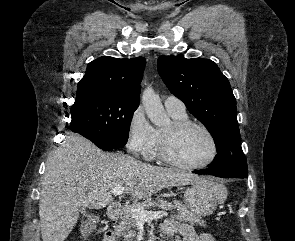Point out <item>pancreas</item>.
I'll return each instance as SVG.
<instances>
[{"mask_svg":"<svg viewBox=\"0 0 295 241\" xmlns=\"http://www.w3.org/2000/svg\"><path fill=\"white\" fill-rule=\"evenodd\" d=\"M135 206H141L146 209L158 207L165 210H177V215L175 217L182 221L188 222L192 225L199 224L200 226H206L204 221H201V218L190 211L183 202L175 200L173 203L169 202H159L151 201L150 199L145 200L142 203L136 204ZM136 225L137 220L131 212V208L127 207L122 212L121 220L114 225L115 234L119 237H123V241H133L136 235Z\"/></svg>","mask_w":295,"mask_h":241,"instance_id":"obj_1","label":"pancreas"}]
</instances>
